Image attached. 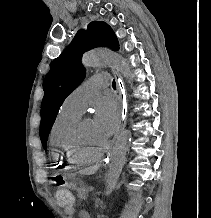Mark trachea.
<instances>
[{
	"instance_id": "1",
	"label": "trachea",
	"mask_w": 211,
	"mask_h": 218,
	"mask_svg": "<svg viewBox=\"0 0 211 218\" xmlns=\"http://www.w3.org/2000/svg\"><path fill=\"white\" fill-rule=\"evenodd\" d=\"M112 87H113V88L116 87V82H115V80H113V82H112Z\"/></svg>"
}]
</instances>
